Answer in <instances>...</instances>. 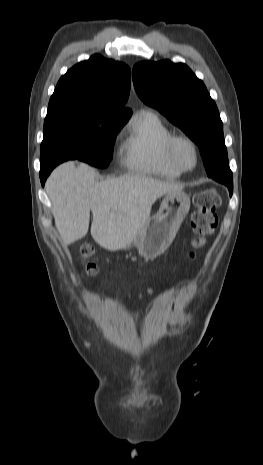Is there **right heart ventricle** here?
<instances>
[{
  "mask_svg": "<svg viewBox=\"0 0 263 465\" xmlns=\"http://www.w3.org/2000/svg\"><path fill=\"white\" fill-rule=\"evenodd\" d=\"M171 135L155 113L141 111L128 127L122 143L126 168L138 174L178 178L182 172L168 161L165 152L166 142Z\"/></svg>",
  "mask_w": 263,
  "mask_h": 465,
  "instance_id": "e07e8e85",
  "label": "right heart ventricle"
}]
</instances>
